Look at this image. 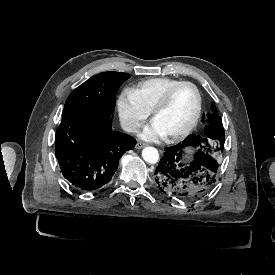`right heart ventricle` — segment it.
Segmentation results:
<instances>
[{
    "instance_id": "obj_1",
    "label": "right heart ventricle",
    "mask_w": 275,
    "mask_h": 275,
    "mask_svg": "<svg viewBox=\"0 0 275 275\" xmlns=\"http://www.w3.org/2000/svg\"><path fill=\"white\" fill-rule=\"evenodd\" d=\"M177 81L168 77L150 78L138 83L134 92L144 107L151 112L166 89Z\"/></svg>"
}]
</instances>
